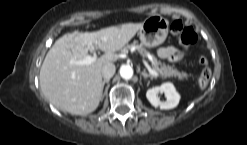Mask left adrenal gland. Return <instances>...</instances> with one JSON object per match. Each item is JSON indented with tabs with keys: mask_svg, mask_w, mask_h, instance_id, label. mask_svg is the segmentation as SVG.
I'll use <instances>...</instances> for the list:
<instances>
[{
	"mask_svg": "<svg viewBox=\"0 0 247 145\" xmlns=\"http://www.w3.org/2000/svg\"><path fill=\"white\" fill-rule=\"evenodd\" d=\"M141 74L143 75L144 78H150V79L154 78V76L148 74L145 70H143Z\"/></svg>",
	"mask_w": 247,
	"mask_h": 145,
	"instance_id": "1",
	"label": "left adrenal gland"
}]
</instances>
